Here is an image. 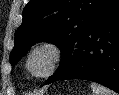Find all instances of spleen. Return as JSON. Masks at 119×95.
I'll return each mask as SVG.
<instances>
[{
    "label": "spleen",
    "instance_id": "1",
    "mask_svg": "<svg viewBox=\"0 0 119 95\" xmlns=\"http://www.w3.org/2000/svg\"><path fill=\"white\" fill-rule=\"evenodd\" d=\"M93 95H118L114 91L97 83H91Z\"/></svg>",
    "mask_w": 119,
    "mask_h": 95
}]
</instances>
